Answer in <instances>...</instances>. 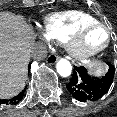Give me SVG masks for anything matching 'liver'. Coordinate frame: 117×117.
<instances>
[{
  "instance_id": "6515ba94",
  "label": "liver",
  "mask_w": 117,
  "mask_h": 117,
  "mask_svg": "<svg viewBox=\"0 0 117 117\" xmlns=\"http://www.w3.org/2000/svg\"><path fill=\"white\" fill-rule=\"evenodd\" d=\"M34 40L33 28L22 16L0 12V99L24 87Z\"/></svg>"
}]
</instances>
